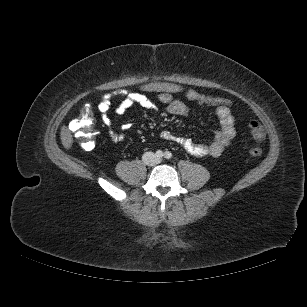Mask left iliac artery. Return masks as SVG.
Masks as SVG:
<instances>
[{
	"label": "left iliac artery",
	"instance_id": "left-iliac-artery-1",
	"mask_svg": "<svg viewBox=\"0 0 307 307\" xmlns=\"http://www.w3.org/2000/svg\"><path fill=\"white\" fill-rule=\"evenodd\" d=\"M164 157H165L166 159H171V158H172V153L169 152V151H166L165 154H164Z\"/></svg>",
	"mask_w": 307,
	"mask_h": 307
}]
</instances>
